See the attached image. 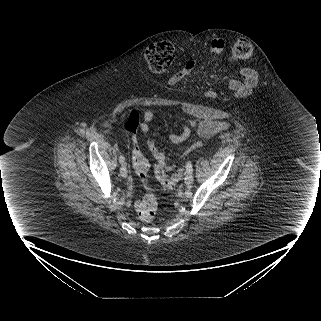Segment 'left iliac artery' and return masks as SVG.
<instances>
[{
    "label": "left iliac artery",
    "instance_id": "left-iliac-artery-1",
    "mask_svg": "<svg viewBox=\"0 0 321 321\" xmlns=\"http://www.w3.org/2000/svg\"><path fill=\"white\" fill-rule=\"evenodd\" d=\"M186 171H187V173L192 174V172H193V168H192V164H191V162H188V163H187Z\"/></svg>",
    "mask_w": 321,
    "mask_h": 321
}]
</instances>
